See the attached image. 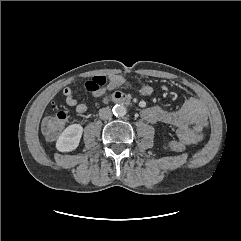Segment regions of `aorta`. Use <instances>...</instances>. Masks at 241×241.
Here are the masks:
<instances>
[{
    "label": "aorta",
    "instance_id": "aorta-1",
    "mask_svg": "<svg viewBox=\"0 0 241 241\" xmlns=\"http://www.w3.org/2000/svg\"><path fill=\"white\" fill-rule=\"evenodd\" d=\"M113 113L115 116L123 117L127 113V109L123 105H115L113 107Z\"/></svg>",
    "mask_w": 241,
    "mask_h": 241
}]
</instances>
